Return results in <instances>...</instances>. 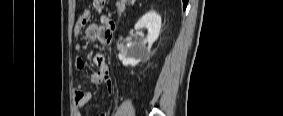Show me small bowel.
Here are the masks:
<instances>
[{
	"label": "small bowel",
	"mask_w": 283,
	"mask_h": 116,
	"mask_svg": "<svg viewBox=\"0 0 283 116\" xmlns=\"http://www.w3.org/2000/svg\"><path fill=\"white\" fill-rule=\"evenodd\" d=\"M105 3V0H96L95 7H101ZM89 14L84 13L75 26V35H79L83 27L86 25ZM115 29L114 22L107 16L102 15L100 17V22L98 24L89 25L86 28V37L91 41H98L101 43H109L112 38V33ZM81 45H77V49H80ZM76 68L82 70L86 62L82 57H77L75 62ZM93 66L95 71L90 75V80L94 84H105L108 93L110 94L114 87V81L110 77L109 68L105 63L103 54L96 53L93 57ZM91 93L89 91H84L81 89H75L73 91L74 100V115L81 116L82 108L90 101ZM106 111L100 112L99 116H107Z\"/></svg>",
	"instance_id": "small-bowel-1"
}]
</instances>
